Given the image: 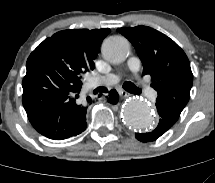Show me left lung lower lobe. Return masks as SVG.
Here are the masks:
<instances>
[{"mask_svg": "<svg viewBox=\"0 0 215 183\" xmlns=\"http://www.w3.org/2000/svg\"><path fill=\"white\" fill-rule=\"evenodd\" d=\"M160 116L158 126L150 133H136L135 137L141 142H151L162 136L169 130L178 120L169 110L162 105H156Z\"/></svg>", "mask_w": 215, "mask_h": 183, "instance_id": "0a47b994", "label": "left lung lower lobe"}]
</instances>
